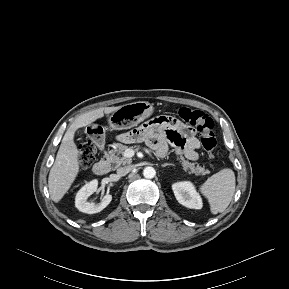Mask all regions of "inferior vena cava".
<instances>
[{"instance_id":"inferior-vena-cava-1","label":"inferior vena cava","mask_w":289,"mask_h":289,"mask_svg":"<svg viewBox=\"0 0 289 289\" xmlns=\"http://www.w3.org/2000/svg\"><path fill=\"white\" fill-rule=\"evenodd\" d=\"M134 167L133 166H125V167H120L117 169V175L119 177L125 176L126 174H128L130 171H132Z\"/></svg>"}]
</instances>
